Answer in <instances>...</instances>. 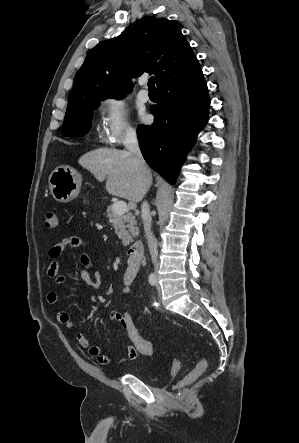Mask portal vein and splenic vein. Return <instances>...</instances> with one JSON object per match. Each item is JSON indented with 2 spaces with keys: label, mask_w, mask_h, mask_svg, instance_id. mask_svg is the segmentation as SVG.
<instances>
[{
  "label": "portal vein and splenic vein",
  "mask_w": 299,
  "mask_h": 443,
  "mask_svg": "<svg viewBox=\"0 0 299 443\" xmlns=\"http://www.w3.org/2000/svg\"><path fill=\"white\" fill-rule=\"evenodd\" d=\"M113 211L118 215H123L126 212H128V207L126 202L124 201H117L113 204Z\"/></svg>",
  "instance_id": "1"
}]
</instances>
